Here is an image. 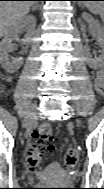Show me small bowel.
<instances>
[{
    "instance_id": "obj_1",
    "label": "small bowel",
    "mask_w": 104,
    "mask_h": 189,
    "mask_svg": "<svg viewBox=\"0 0 104 189\" xmlns=\"http://www.w3.org/2000/svg\"><path fill=\"white\" fill-rule=\"evenodd\" d=\"M94 84L97 90H102L104 87V76L101 71H97L94 76Z\"/></svg>"
}]
</instances>
